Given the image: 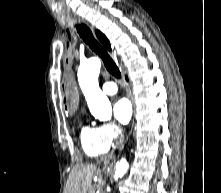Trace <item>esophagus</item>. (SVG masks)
<instances>
[{"instance_id":"1","label":"esophagus","mask_w":221,"mask_h":193,"mask_svg":"<svg viewBox=\"0 0 221 193\" xmlns=\"http://www.w3.org/2000/svg\"><path fill=\"white\" fill-rule=\"evenodd\" d=\"M68 16H71V17H73L74 19H76V20H79V21H82V22H84L85 24H87L90 28H91V30L93 31V33H94V28H93V26H90L89 25V23L85 20V19H83V18H80L79 16H77L76 14H70V15H68ZM132 103H133V113H134V115H135V105H134V100H133V98H132ZM132 127L135 125L134 124V118H133V122L130 124ZM132 130V129H131Z\"/></svg>"}]
</instances>
